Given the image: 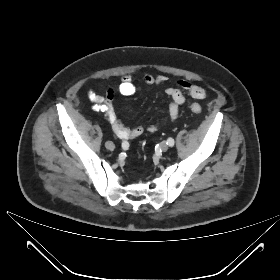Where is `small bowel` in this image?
Listing matches in <instances>:
<instances>
[{"label": "small bowel", "mask_w": 280, "mask_h": 280, "mask_svg": "<svg viewBox=\"0 0 280 280\" xmlns=\"http://www.w3.org/2000/svg\"><path fill=\"white\" fill-rule=\"evenodd\" d=\"M147 85H161L166 81V77L159 75L154 76L152 74H146L143 78ZM136 88L132 81L131 76H124L121 83L118 86V92L121 95L129 96L134 94ZM185 93L190 97L200 100L206 97V91L199 85H196L187 80H180L175 87H167L165 94L170 98L168 104V116L171 120H176L179 115L180 107L186 102ZM116 94V90L109 88L106 91L105 96H102L93 90H89L87 96L94 104V109L101 111L107 117L113 132L122 140H129L140 136L145 130L148 132H155L158 129L157 125L151 124L147 127L126 126L117 116L113 100Z\"/></svg>", "instance_id": "small-bowel-1"}]
</instances>
